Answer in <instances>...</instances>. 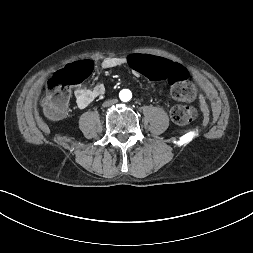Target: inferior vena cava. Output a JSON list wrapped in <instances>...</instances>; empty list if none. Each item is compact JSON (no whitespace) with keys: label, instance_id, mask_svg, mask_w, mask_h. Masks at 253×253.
<instances>
[{"label":"inferior vena cava","instance_id":"inferior-vena-cava-1","mask_svg":"<svg viewBox=\"0 0 253 253\" xmlns=\"http://www.w3.org/2000/svg\"><path fill=\"white\" fill-rule=\"evenodd\" d=\"M117 103H118V100L116 98H113L108 101H105L103 104H104V106H109L111 104L116 105Z\"/></svg>","mask_w":253,"mask_h":253}]
</instances>
